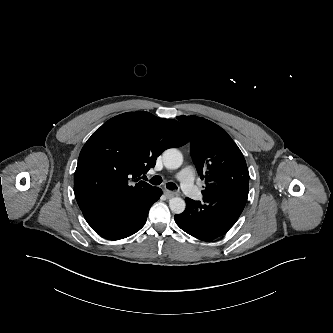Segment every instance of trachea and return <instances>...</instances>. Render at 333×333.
I'll use <instances>...</instances> for the list:
<instances>
[{
	"instance_id": "obj_1",
	"label": "trachea",
	"mask_w": 333,
	"mask_h": 333,
	"mask_svg": "<svg viewBox=\"0 0 333 333\" xmlns=\"http://www.w3.org/2000/svg\"><path fill=\"white\" fill-rule=\"evenodd\" d=\"M147 180V179H146ZM149 182L153 185H159L162 183V178L160 176H154L152 177ZM166 187L170 190H174V189H177V186L176 184L172 183V182H169L166 184Z\"/></svg>"
}]
</instances>
